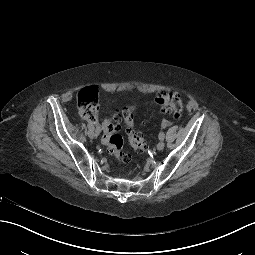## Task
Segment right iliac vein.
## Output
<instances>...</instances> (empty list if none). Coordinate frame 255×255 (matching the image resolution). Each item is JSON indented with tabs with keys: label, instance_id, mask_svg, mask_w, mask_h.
<instances>
[{
	"label": "right iliac vein",
	"instance_id": "obj_1",
	"mask_svg": "<svg viewBox=\"0 0 255 255\" xmlns=\"http://www.w3.org/2000/svg\"><path fill=\"white\" fill-rule=\"evenodd\" d=\"M88 136L90 137V138H95L96 137V133H95V131L94 130H91V129H89V131H88Z\"/></svg>",
	"mask_w": 255,
	"mask_h": 255
}]
</instances>
